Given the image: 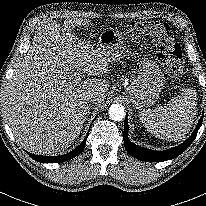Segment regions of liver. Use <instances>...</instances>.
Instances as JSON below:
<instances>
[{
  "label": "liver",
  "instance_id": "obj_1",
  "mask_svg": "<svg viewBox=\"0 0 206 206\" xmlns=\"http://www.w3.org/2000/svg\"><path fill=\"white\" fill-rule=\"evenodd\" d=\"M85 24L79 18L62 26L55 20L43 22L8 83L4 112L17 141L34 154L67 149L87 119L88 95L97 94L98 104L107 96V80L74 77L76 70L104 76L112 61L104 50L74 35L73 28Z\"/></svg>",
  "mask_w": 206,
  "mask_h": 206
}]
</instances>
